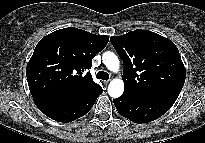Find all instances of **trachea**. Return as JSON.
I'll use <instances>...</instances> for the list:
<instances>
[{"label": "trachea", "mask_w": 205, "mask_h": 143, "mask_svg": "<svg viewBox=\"0 0 205 143\" xmlns=\"http://www.w3.org/2000/svg\"><path fill=\"white\" fill-rule=\"evenodd\" d=\"M97 79L108 80L109 74L105 71H99L96 75Z\"/></svg>", "instance_id": "obj_1"}]
</instances>
